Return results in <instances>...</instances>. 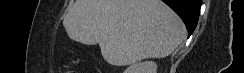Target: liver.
I'll return each instance as SVG.
<instances>
[{
	"mask_svg": "<svg viewBox=\"0 0 244 73\" xmlns=\"http://www.w3.org/2000/svg\"><path fill=\"white\" fill-rule=\"evenodd\" d=\"M63 26L76 42L98 43L116 66L167 57L186 35L180 17L161 0H76Z\"/></svg>",
	"mask_w": 244,
	"mask_h": 73,
	"instance_id": "liver-1",
	"label": "liver"
}]
</instances>
